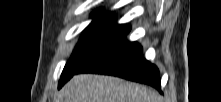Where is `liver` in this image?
<instances>
[{"label": "liver", "instance_id": "liver-1", "mask_svg": "<svg viewBox=\"0 0 221 102\" xmlns=\"http://www.w3.org/2000/svg\"><path fill=\"white\" fill-rule=\"evenodd\" d=\"M63 102H160L159 94L145 86L112 76L80 74L62 90Z\"/></svg>", "mask_w": 221, "mask_h": 102}]
</instances>
